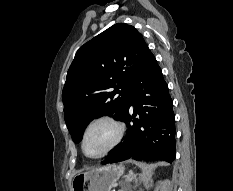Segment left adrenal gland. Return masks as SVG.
<instances>
[{
  "label": "left adrenal gland",
  "mask_w": 233,
  "mask_h": 191,
  "mask_svg": "<svg viewBox=\"0 0 233 191\" xmlns=\"http://www.w3.org/2000/svg\"><path fill=\"white\" fill-rule=\"evenodd\" d=\"M127 179L129 181H133L135 179V175L130 171L129 174H128V176H127Z\"/></svg>",
  "instance_id": "1"
}]
</instances>
